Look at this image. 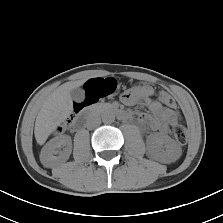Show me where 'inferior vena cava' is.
Wrapping results in <instances>:
<instances>
[{"label":"inferior vena cava","instance_id":"602c4592","mask_svg":"<svg viewBox=\"0 0 223 223\" xmlns=\"http://www.w3.org/2000/svg\"><path fill=\"white\" fill-rule=\"evenodd\" d=\"M101 120L99 117H93L91 119H89L88 123H87V127L88 128H94L97 127L98 125H100Z\"/></svg>","mask_w":223,"mask_h":223}]
</instances>
